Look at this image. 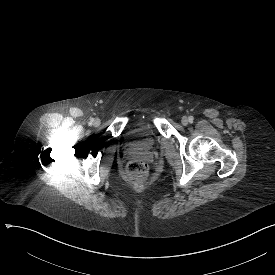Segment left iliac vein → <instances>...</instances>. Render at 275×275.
Segmentation results:
<instances>
[{
  "label": "left iliac vein",
  "mask_w": 275,
  "mask_h": 275,
  "mask_svg": "<svg viewBox=\"0 0 275 275\" xmlns=\"http://www.w3.org/2000/svg\"><path fill=\"white\" fill-rule=\"evenodd\" d=\"M189 123V119L187 117L182 118V124L187 125Z\"/></svg>",
  "instance_id": "1"
}]
</instances>
